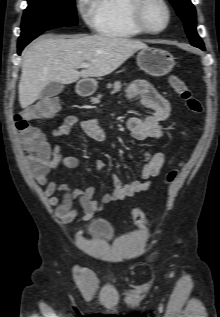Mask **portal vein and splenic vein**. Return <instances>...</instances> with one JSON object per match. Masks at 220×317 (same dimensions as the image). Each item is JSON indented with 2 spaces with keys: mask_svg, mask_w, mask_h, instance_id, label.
<instances>
[{
  "mask_svg": "<svg viewBox=\"0 0 220 317\" xmlns=\"http://www.w3.org/2000/svg\"><path fill=\"white\" fill-rule=\"evenodd\" d=\"M89 66V63H81L80 65H78V68H88Z\"/></svg>",
  "mask_w": 220,
  "mask_h": 317,
  "instance_id": "portal-vein-and-splenic-vein-1",
  "label": "portal vein and splenic vein"
}]
</instances>
